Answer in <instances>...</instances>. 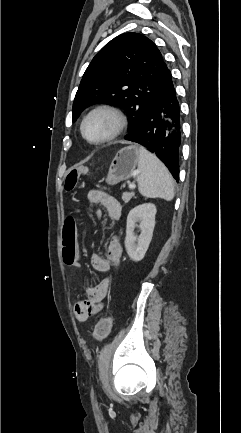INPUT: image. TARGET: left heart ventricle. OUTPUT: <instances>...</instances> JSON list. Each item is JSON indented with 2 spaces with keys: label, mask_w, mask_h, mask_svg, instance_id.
<instances>
[{
  "label": "left heart ventricle",
  "mask_w": 241,
  "mask_h": 433,
  "mask_svg": "<svg viewBox=\"0 0 241 433\" xmlns=\"http://www.w3.org/2000/svg\"><path fill=\"white\" fill-rule=\"evenodd\" d=\"M113 126L114 121L108 114L99 113L86 122L84 132L90 140H98L108 135Z\"/></svg>",
  "instance_id": "1"
}]
</instances>
